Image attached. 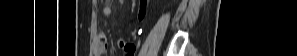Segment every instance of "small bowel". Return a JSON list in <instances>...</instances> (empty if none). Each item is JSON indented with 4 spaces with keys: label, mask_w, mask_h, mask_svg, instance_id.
Segmentation results:
<instances>
[{
    "label": "small bowel",
    "mask_w": 297,
    "mask_h": 56,
    "mask_svg": "<svg viewBox=\"0 0 297 56\" xmlns=\"http://www.w3.org/2000/svg\"><path fill=\"white\" fill-rule=\"evenodd\" d=\"M124 0H120V3H123ZM105 14H109L110 13V8L109 7H106L105 10H104ZM119 46L122 47L126 54L128 56H133V51H134V46L131 45V44H127L125 41L123 40H120L119 41ZM107 49H108V43H107V40L104 36H100L99 37V41H98V44H97V54L98 55H104L106 54L107 52Z\"/></svg>",
    "instance_id": "c3829d8e"
}]
</instances>
